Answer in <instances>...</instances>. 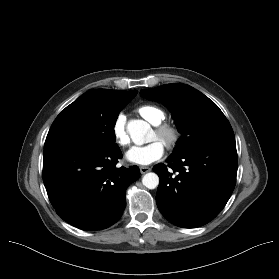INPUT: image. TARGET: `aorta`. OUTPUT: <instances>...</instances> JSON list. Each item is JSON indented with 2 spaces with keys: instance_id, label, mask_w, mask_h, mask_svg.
I'll list each match as a JSON object with an SVG mask.
<instances>
[{
  "instance_id": "762f6f07",
  "label": "aorta",
  "mask_w": 279,
  "mask_h": 279,
  "mask_svg": "<svg viewBox=\"0 0 279 279\" xmlns=\"http://www.w3.org/2000/svg\"><path fill=\"white\" fill-rule=\"evenodd\" d=\"M127 130L136 144H143L150 126L143 120H131L128 123ZM142 183L148 189H155L159 185V177L154 172L146 173L142 178Z\"/></svg>"
}]
</instances>
